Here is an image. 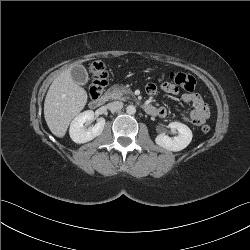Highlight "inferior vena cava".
<instances>
[{"label": "inferior vena cava", "mask_w": 250, "mask_h": 250, "mask_svg": "<svg viewBox=\"0 0 250 250\" xmlns=\"http://www.w3.org/2000/svg\"><path fill=\"white\" fill-rule=\"evenodd\" d=\"M107 107L111 112H117L123 108V102L114 101V102L108 103Z\"/></svg>", "instance_id": "obj_1"}]
</instances>
